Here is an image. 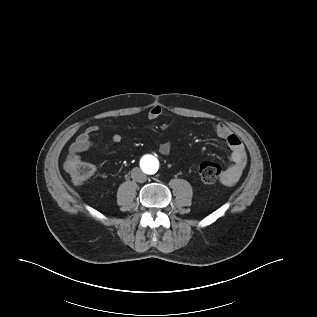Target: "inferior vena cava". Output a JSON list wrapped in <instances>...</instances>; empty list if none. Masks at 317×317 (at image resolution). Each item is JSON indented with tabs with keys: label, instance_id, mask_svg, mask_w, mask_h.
<instances>
[{
	"label": "inferior vena cava",
	"instance_id": "602c4592",
	"mask_svg": "<svg viewBox=\"0 0 317 317\" xmlns=\"http://www.w3.org/2000/svg\"><path fill=\"white\" fill-rule=\"evenodd\" d=\"M131 177L134 181L143 183L146 181L147 176L140 168H133L131 171Z\"/></svg>",
	"mask_w": 317,
	"mask_h": 317
}]
</instances>
